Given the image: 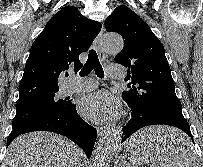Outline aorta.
Returning <instances> with one entry per match:
<instances>
[{"label": "aorta", "mask_w": 203, "mask_h": 167, "mask_svg": "<svg viewBox=\"0 0 203 167\" xmlns=\"http://www.w3.org/2000/svg\"><path fill=\"white\" fill-rule=\"evenodd\" d=\"M124 46L121 36L117 34H106L103 36L101 47L106 53L117 54ZM121 129H112L99 142L94 152L95 167H110L111 160L122 139Z\"/></svg>", "instance_id": "obj_1"}]
</instances>
